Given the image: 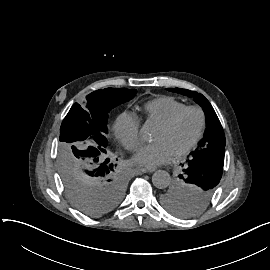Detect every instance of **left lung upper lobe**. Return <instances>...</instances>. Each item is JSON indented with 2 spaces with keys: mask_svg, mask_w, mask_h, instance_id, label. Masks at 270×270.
I'll return each instance as SVG.
<instances>
[{
  "mask_svg": "<svg viewBox=\"0 0 270 270\" xmlns=\"http://www.w3.org/2000/svg\"><path fill=\"white\" fill-rule=\"evenodd\" d=\"M168 91L192 97L204 110L206 129L198 149L191 152L183 173L160 195L162 205L170 213L192 218L209 205L223 173L225 135L221 123L210 102L200 93L181 88Z\"/></svg>",
  "mask_w": 270,
  "mask_h": 270,
  "instance_id": "obj_1",
  "label": "left lung upper lobe"
}]
</instances>
